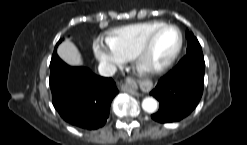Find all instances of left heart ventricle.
<instances>
[{
	"mask_svg": "<svg viewBox=\"0 0 247 145\" xmlns=\"http://www.w3.org/2000/svg\"><path fill=\"white\" fill-rule=\"evenodd\" d=\"M178 33L173 28L162 30L155 38L145 58L146 67H154L166 62L178 45Z\"/></svg>",
	"mask_w": 247,
	"mask_h": 145,
	"instance_id": "b2bd125f",
	"label": "left heart ventricle"
}]
</instances>
